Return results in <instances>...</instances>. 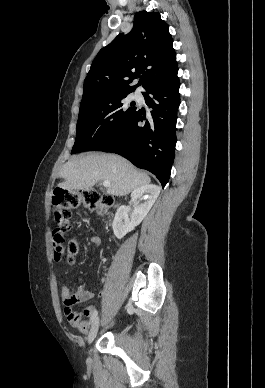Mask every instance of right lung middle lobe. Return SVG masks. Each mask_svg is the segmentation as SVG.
Wrapping results in <instances>:
<instances>
[{
  "instance_id": "dd1d6c3e",
  "label": "right lung middle lobe",
  "mask_w": 265,
  "mask_h": 388,
  "mask_svg": "<svg viewBox=\"0 0 265 388\" xmlns=\"http://www.w3.org/2000/svg\"><path fill=\"white\" fill-rule=\"evenodd\" d=\"M131 92L105 90L82 98L76 139L71 154L101 150L136 111L124 99Z\"/></svg>"
}]
</instances>
